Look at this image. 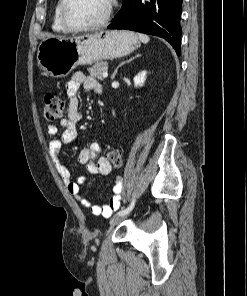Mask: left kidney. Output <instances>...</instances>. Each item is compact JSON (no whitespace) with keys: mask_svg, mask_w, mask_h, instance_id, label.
I'll list each match as a JSON object with an SVG mask.
<instances>
[{"mask_svg":"<svg viewBox=\"0 0 247 296\" xmlns=\"http://www.w3.org/2000/svg\"><path fill=\"white\" fill-rule=\"evenodd\" d=\"M146 74V71H142L134 77L135 87H142L144 85V82L146 80Z\"/></svg>","mask_w":247,"mask_h":296,"instance_id":"left-kidney-1","label":"left kidney"}]
</instances>
